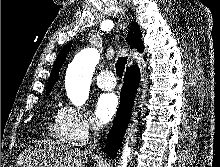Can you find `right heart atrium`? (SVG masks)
I'll return each mask as SVG.
<instances>
[{"label": "right heart atrium", "instance_id": "1", "mask_svg": "<svg viewBox=\"0 0 220 167\" xmlns=\"http://www.w3.org/2000/svg\"><path fill=\"white\" fill-rule=\"evenodd\" d=\"M60 117L72 142H85L98 130V126L88 113L73 106L63 107L60 110Z\"/></svg>", "mask_w": 220, "mask_h": 167}]
</instances>
